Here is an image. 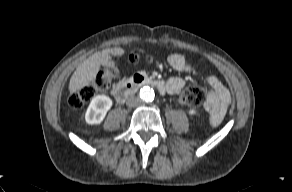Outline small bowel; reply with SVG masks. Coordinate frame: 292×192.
<instances>
[{
  "label": "small bowel",
  "mask_w": 292,
  "mask_h": 192,
  "mask_svg": "<svg viewBox=\"0 0 292 192\" xmlns=\"http://www.w3.org/2000/svg\"><path fill=\"white\" fill-rule=\"evenodd\" d=\"M124 55V50L120 47H114L105 51L102 64L105 67L114 68V57ZM169 65L176 71L195 73L196 69L193 67L186 58L178 53L171 54L168 58ZM206 84L209 87V93L205 102V109L208 112V121L211 125H217L225 116L229 107L231 96L227 87L214 75H208L205 78ZM122 83L120 75L117 74V86ZM166 91L168 93L180 92L186 82L181 77H172L166 81ZM116 86V87H117ZM115 87V88H116Z\"/></svg>",
  "instance_id": "obj_1"
}]
</instances>
